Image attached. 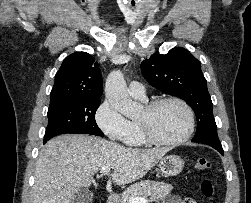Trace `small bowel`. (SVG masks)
Here are the masks:
<instances>
[{"label": "small bowel", "instance_id": "c3829d8e", "mask_svg": "<svg viewBox=\"0 0 251 203\" xmlns=\"http://www.w3.org/2000/svg\"><path fill=\"white\" fill-rule=\"evenodd\" d=\"M159 203H197L195 200L191 198L181 199L178 196L169 195L161 200Z\"/></svg>", "mask_w": 251, "mask_h": 203}]
</instances>
